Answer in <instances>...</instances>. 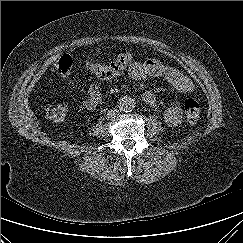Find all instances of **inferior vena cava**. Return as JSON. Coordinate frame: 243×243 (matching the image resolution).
Listing matches in <instances>:
<instances>
[{"mask_svg": "<svg viewBox=\"0 0 243 243\" xmlns=\"http://www.w3.org/2000/svg\"><path fill=\"white\" fill-rule=\"evenodd\" d=\"M118 116H119V111L118 110H110L107 113V118L111 119V120L115 119Z\"/></svg>", "mask_w": 243, "mask_h": 243, "instance_id": "obj_1", "label": "inferior vena cava"}]
</instances>
